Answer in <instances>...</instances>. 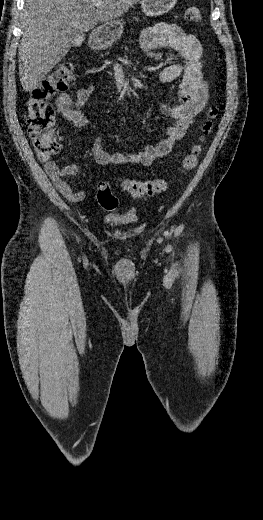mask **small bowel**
<instances>
[{
    "mask_svg": "<svg viewBox=\"0 0 263 520\" xmlns=\"http://www.w3.org/2000/svg\"><path fill=\"white\" fill-rule=\"evenodd\" d=\"M140 45L150 58L157 59L159 49L170 48L184 60L183 64L164 67L159 74L162 83L173 82L182 76L177 91V101L173 104L160 105L163 113L171 117L174 123L168 128L164 139L154 145H147L138 152L109 153L103 148L102 138L96 137L92 152L96 163L100 165L150 166L156 159L170 153L173 145L185 136L195 117L208 102V86L203 80L202 73V47L194 35L185 32L177 25L160 22L142 32ZM92 93V86L79 88L74 93H61L55 100L57 112L78 129H85L87 121L79 108L87 103ZM44 169L66 199L72 202H81L85 199L84 191L73 190L65 181V177H76L79 174L77 165L60 167L56 162L49 161L44 163Z\"/></svg>",
    "mask_w": 263,
    "mask_h": 520,
    "instance_id": "c3829d8e",
    "label": "small bowel"
}]
</instances>
